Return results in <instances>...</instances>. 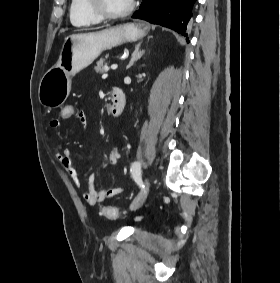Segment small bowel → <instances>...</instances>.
<instances>
[{"label":"small bowel","mask_w":280,"mask_h":283,"mask_svg":"<svg viewBox=\"0 0 280 283\" xmlns=\"http://www.w3.org/2000/svg\"><path fill=\"white\" fill-rule=\"evenodd\" d=\"M76 120L81 124L85 125L87 122V117L83 112H75L73 116ZM60 120H67V119H58L54 118L50 121L51 128H59L60 127ZM120 157V152L117 147H113L110 154H109V161L111 164H115ZM55 158L60 162L66 173L69 177L73 180L76 185H80V176L76 170L74 160L71 155V151L66 148L61 151L55 152ZM96 177L94 173H91L87 176V189L83 192L84 200L91 206H95L97 204L102 203L107 198L112 196L118 195L122 192L121 188L118 187H105L102 189H97L95 185Z\"/></svg>","instance_id":"obj_1"}]
</instances>
